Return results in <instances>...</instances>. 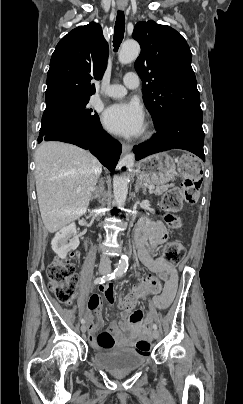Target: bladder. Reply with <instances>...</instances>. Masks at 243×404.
<instances>
[{"mask_svg":"<svg viewBox=\"0 0 243 404\" xmlns=\"http://www.w3.org/2000/svg\"><path fill=\"white\" fill-rule=\"evenodd\" d=\"M95 362L113 374L129 373L143 367L148 358L133 348L101 350L95 353Z\"/></svg>","mask_w":243,"mask_h":404,"instance_id":"1","label":"bladder"}]
</instances>
